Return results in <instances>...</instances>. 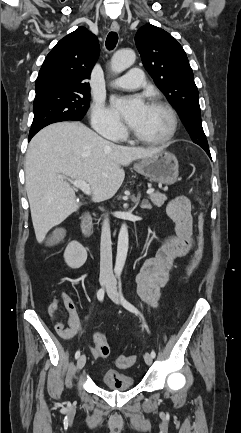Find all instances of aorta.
Masks as SVG:
<instances>
[{"instance_id": "762f6f07", "label": "aorta", "mask_w": 241, "mask_h": 433, "mask_svg": "<svg viewBox=\"0 0 241 433\" xmlns=\"http://www.w3.org/2000/svg\"><path fill=\"white\" fill-rule=\"evenodd\" d=\"M135 58L136 56L133 50H119L114 53L111 59V68L115 73H121L135 62ZM128 244V229L126 224H122L118 235L117 255L114 268V271L118 276L122 273L125 265L128 252Z\"/></svg>"}]
</instances>
